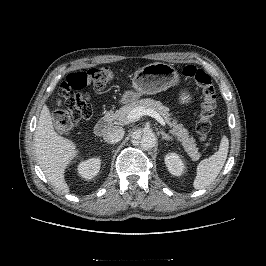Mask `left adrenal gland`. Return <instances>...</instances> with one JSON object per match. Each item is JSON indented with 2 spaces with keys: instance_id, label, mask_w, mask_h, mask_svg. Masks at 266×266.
I'll return each instance as SVG.
<instances>
[{
  "instance_id": "obj_1",
  "label": "left adrenal gland",
  "mask_w": 266,
  "mask_h": 266,
  "mask_svg": "<svg viewBox=\"0 0 266 266\" xmlns=\"http://www.w3.org/2000/svg\"><path fill=\"white\" fill-rule=\"evenodd\" d=\"M160 134L162 135V140H166V141H172V137L169 136L168 134H166L164 131H160Z\"/></svg>"
}]
</instances>
